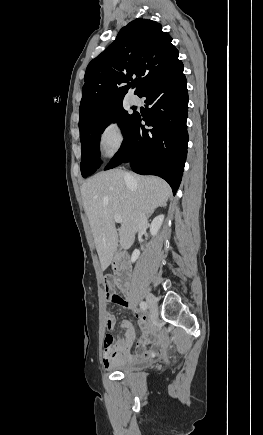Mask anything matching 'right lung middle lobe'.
<instances>
[{
    "mask_svg": "<svg viewBox=\"0 0 263 435\" xmlns=\"http://www.w3.org/2000/svg\"><path fill=\"white\" fill-rule=\"evenodd\" d=\"M135 117L136 113L128 114L121 102L104 111L90 124L79 128L82 146L81 173L84 178L93 174L100 166L99 143L104 129L111 122H118L125 136Z\"/></svg>",
    "mask_w": 263,
    "mask_h": 435,
    "instance_id": "1",
    "label": "right lung middle lobe"
}]
</instances>
